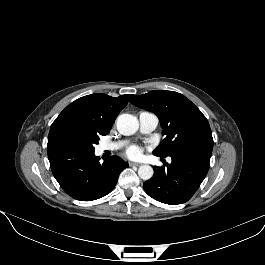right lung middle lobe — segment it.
<instances>
[{
  "instance_id": "dd1d6c3e",
  "label": "right lung middle lobe",
  "mask_w": 265,
  "mask_h": 265,
  "mask_svg": "<svg viewBox=\"0 0 265 265\" xmlns=\"http://www.w3.org/2000/svg\"><path fill=\"white\" fill-rule=\"evenodd\" d=\"M100 134L79 126H66L59 129L54 135V146L81 148L94 151Z\"/></svg>"
}]
</instances>
